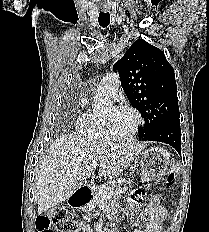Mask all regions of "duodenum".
Returning a JSON list of instances; mask_svg holds the SVG:
<instances>
[{"mask_svg": "<svg viewBox=\"0 0 209 232\" xmlns=\"http://www.w3.org/2000/svg\"><path fill=\"white\" fill-rule=\"evenodd\" d=\"M92 197L91 189L86 185L78 186L70 197V204L73 208H82L86 206Z\"/></svg>", "mask_w": 209, "mask_h": 232, "instance_id": "410a0bca", "label": "duodenum"}]
</instances>
